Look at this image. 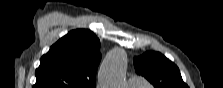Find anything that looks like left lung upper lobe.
<instances>
[{
  "mask_svg": "<svg viewBox=\"0 0 223 88\" xmlns=\"http://www.w3.org/2000/svg\"><path fill=\"white\" fill-rule=\"evenodd\" d=\"M138 74L148 79L155 88H188L178 67L158 52H146L134 59Z\"/></svg>",
  "mask_w": 223,
  "mask_h": 88,
  "instance_id": "obj_1",
  "label": "left lung upper lobe"
}]
</instances>
